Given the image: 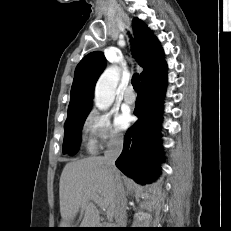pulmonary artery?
Returning <instances> with one entry per match:
<instances>
[{"instance_id": "pulmonary-artery-1", "label": "pulmonary artery", "mask_w": 231, "mask_h": 231, "mask_svg": "<svg viewBox=\"0 0 231 231\" xmlns=\"http://www.w3.org/2000/svg\"><path fill=\"white\" fill-rule=\"evenodd\" d=\"M123 98H124V101L126 103H130L131 104V103H133L135 101L136 96H135V94L133 92L132 87H128L126 89V91L124 92Z\"/></svg>"}]
</instances>
